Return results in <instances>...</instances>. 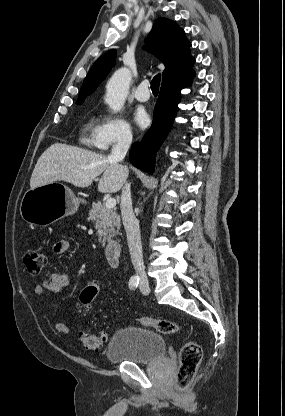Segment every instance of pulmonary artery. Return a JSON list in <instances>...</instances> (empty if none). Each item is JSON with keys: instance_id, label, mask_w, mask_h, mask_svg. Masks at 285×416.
Returning a JSON list of instances; mask_svg holds the SVG:
<instances>
[{"instance_id": "obj_1", "label": "pulmonary artery", "mask_w": 285, "mask_h": 416, "mask_svg": "<svg viewBox=\"0 0 285 416\" xmlns=\"http://www.w3.org/2000/svg\"><path fill=\"white\" fill-rule=\"evenodd\" d=\"M149 86V82L147 80L142 81L136 89L135 96L139 101H147L149 99V95L147 87Z\"/></svg>"}]
</instances>
